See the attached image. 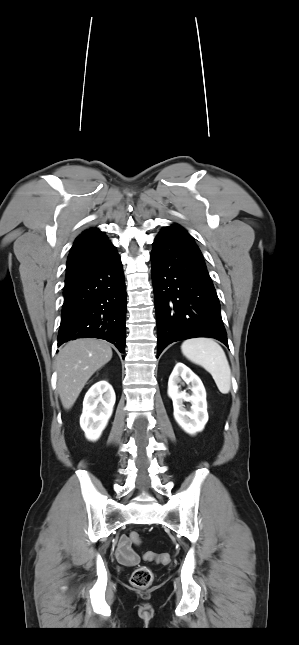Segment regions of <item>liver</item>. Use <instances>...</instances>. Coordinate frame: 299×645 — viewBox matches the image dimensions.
I'll list each match as a JSON object with an SVG mask.
<instances>
[{
    "mask_svg": "<svg viewBox=\"0 0 299 645\" xmlns=\"http://www.w3.org/2000/svg\"><path fill=\"white\" fill-rule=\"evenodd\" d=\"M111 358L112 349L105 341L90 338L70 341L59 350L57 388L65 409L74 405L89 378Z\"/></svg>",
    "mask_w": 299,
    "mask_h": 645,
    "instance_id": "liver-1",
    "label": "liver"
}]
</instances>
